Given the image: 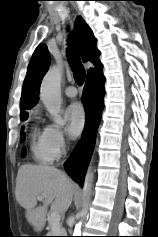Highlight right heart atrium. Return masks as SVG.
Wrapping results in <instances>:
<instances>
[{
	"instance_id": "obj_1",
	"label": "right heart atrium",
	"mask_w": 158,
	"mask_h": 237,
	"mask_svg": "<svg viewBox=\"0 0 158 237\" xmlns=\"http://www.w3.org/2000/svg\"><path fill=\"white\" fill-rule=\"evenodd\" d=\"M46 145L54 158H59L66 150L67 140L64 132L56 125H48L45 129Z\"/></svg>"
}]
</instances>
